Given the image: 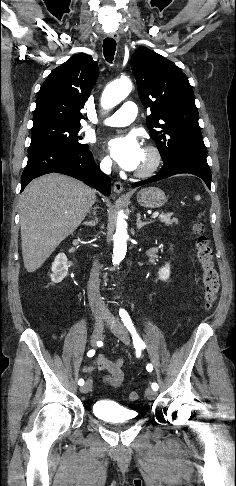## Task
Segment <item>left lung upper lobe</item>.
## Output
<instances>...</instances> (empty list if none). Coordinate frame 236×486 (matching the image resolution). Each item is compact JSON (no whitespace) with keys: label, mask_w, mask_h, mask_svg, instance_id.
I'll return each mask as SVG.
<instances>
[{"label":"left lung upper lobe","mask_w":236,"mask_h":486,"mask_svg":"<svg viewBox=\"0 0 236 486\" xmlns=\"http://www.w3.org/2000/svg\"><path fill=\"white\" fill-rule=\"evenodd\" d=\"M131 68L140 100L151 111L146 125L162 160L178 155L206 157L187 76L173 62L146 47L134 52Z\"/></svg>","instance_id":"obj_1"}]
</instances>
